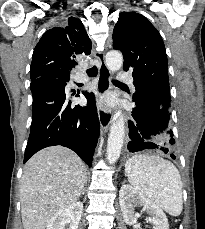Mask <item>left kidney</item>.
<instances>
[{
  "label": "left kidney",
  "instance_id": "5707ae66",
  "mask_svg": "<svg viewBox=\"0 0 205 229\" xmlns=\"http://www.w3.org/2000/svg\"><path fill=\"white\" fill-rule=\"evenodd\" d=\"M119 203L125 223L132 225L134 229H138L139 215L135 212L137 206L143 207V210L150 215L146 221L153 225V229H169L168 219L163 210L136 188L128 184L122 185L119 191Z\"/></svg>",
  "mask_w": 205,
  "mask_h": 229
}]
</instances>
